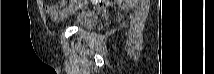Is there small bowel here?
<instances>
[{
  "mask_svg": "<svg viewBox=\"0 0 214 74\" xmlns=\"http://www.w3.org/2000/svg\"><path fill=\"white\" fill-rule=\"evenodd\" d=\"M45 10L53 18H61L66 13L65 9L58 6L46 5Z\"/></svg>",
  "mask_w": 214,
  "mask_h": 74,
  "instance_id": "small-bowel-1",
  "label": "small bowel"
}]
</instances>
